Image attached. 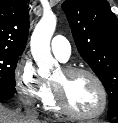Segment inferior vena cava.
Returning <instances> with one entry per match:
<instances>
[{
	"label": "inferior vena cava",
	"mask_w": 118,
	"mask_h": 123,
	"mask_svg": "<svg viewBox=\"0 0 118 123\" xmlns=\"http://www.w3.org/2000/svg\"><path fill=\"white\" fill-rule=\"evenodd\" d=\"M25 115L26 117L30 119H36L38 116L37 110L32 106V107H25Z\"/></svg>",
	"instance_id": "1"
}]
</instances>
